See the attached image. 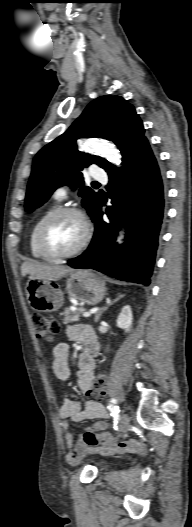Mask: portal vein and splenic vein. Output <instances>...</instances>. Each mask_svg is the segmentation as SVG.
Segmentation results:
<instances>
[{
    "mask_svg": "<svg viewBox=\"0 0 192 527\" xmlns=\"http://www.w3.org/2000/svg\"><path fill=\"white\" fill-rule=\"evenodd\" d=\"M82 315L84 317H90L91 313L90 312H83Z\"/></svg>",
    "mask_w": 192,
    "mask_h": 527,
    "instance_id": "1",
    "label": "portal vein and splenic vein"
}]
</instances>
